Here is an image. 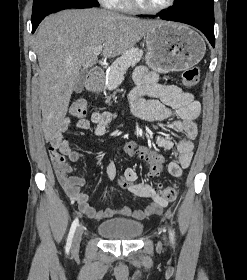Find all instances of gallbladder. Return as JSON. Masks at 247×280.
I'll return each instance as SVG.
<instances>
[{
    "label": "gallbladder",
    "instance_id": "obj_1",
    "mask_svg": "<svg viewBox=\"0 0 247 280\" xmlns=\"http://www.w3.org/2000/svg\"><path fill=\"white\" fill-rule=\"evenodd\" d=\"M86 74H87V70L83 69L81 70L80 72V75L78 77V80L76 82V85L74 87V91L76 93H80L83 91L84 89V86H85V77H86Z\"/></svg>",
    "mask_w": 247,
    "mask_h": 280
}]
</instances>
